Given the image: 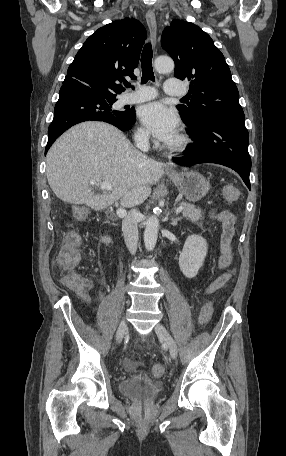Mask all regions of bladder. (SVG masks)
Instances as JSON below:
<instances>
[{"label":"bladder","mask_w":286,"mask_h":456,"mask_svg":"<svg viewBox=\"0 0 286 456\" xmlns=\"http://www.w3.org/2000/svg\"><path fill=\"white\" fill-rule=\"evenodd\" d=\"M119 391L134 400L149 402L162 392V385L145 375H134L120 381Z\"/></svg>","instance_id":"obj_1"}]
</instances>
